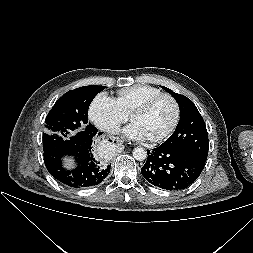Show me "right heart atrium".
<instances>
[{
	"label": "right heart atrium",
	"mask_w": 253,
	"mask_h": 253,
	"mask_svg": "<svg viewBox=\"0 0 253 253\" xmlns=\"http://www.w3.org/2000/svg\"><path fill=\"white\" fill-rule=\"evenodd\" d=\"M89 118L98 129L115 134L128 116L122 112L115 99L106 93H99L90 104Z\"/></svg>",
	"instance_id": "right-heart-atrium-1"
}]
</instances>
